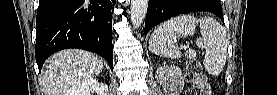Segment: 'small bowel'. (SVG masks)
<instances>
[{"mask_svg":"<svg viewBox=\"0 0 277 95\" xmlns=\"http://www.w3.org/2000/svg\"><path fill=\"white\" fill-rule=\"evenodd\" d=\"M196 84L199 85L202 89L207 87V80L205 77H198L196 79ZM202 94H206V93H202Z\"/></svg>","mask_w":277,"mask_h":95,"instance_id":"small-bowel-1","label":"small bowel"}]
</instances>
